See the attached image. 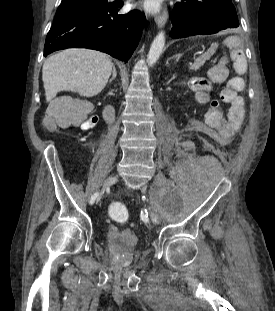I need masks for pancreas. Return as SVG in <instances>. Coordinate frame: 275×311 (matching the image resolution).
Instances as JSON below:
<instances>
[{
	"instance_id": "1",
	"label": "pancreas",
	"mask_w": 275,
	"mask_h": 311,
	"mask_svg": "<svg viewBox=\"0 0 275 311\" xmlns=\"http://www.w3.org/2000/svg\"><path fill=\"white\" fill-rule=\"evenodd\" d=\"M196 65L194 64L193 66H192V68H194Z\"/></svg>"
}]
</instances>
